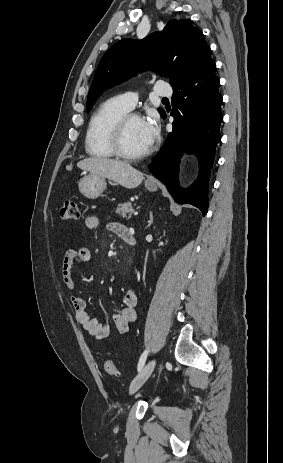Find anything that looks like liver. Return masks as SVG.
<instances>
[{
	"label": "liver",
	"instance_id": "1",
	"mask_svg": "<svg viewBox=\"0 0 283 463\" xmlns=\"http://www.w3.org/2000/svg\"><path fill=\"white\" fill-rule=\"evenodd\" d=\"M77 167L92 175L108 178L128 189L136 188L144 179L143 174L129 163L104 157L83 159L77 163Z\"/></svg>",
	"mask_w": 283,
	"mask_h": 463
}]
</instances>
